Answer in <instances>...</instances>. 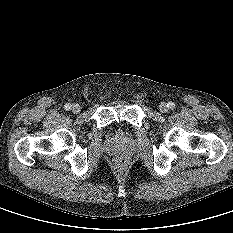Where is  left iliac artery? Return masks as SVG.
Here are the masks:
<instances>
[{
  "instance_id": "44dca946",
  "label": "left iliac artery",
  "mask_w": 233,
  "mask_h": 233,
  "mask_svg": "<svg viewBox=\"0 0 233 233\" xmlns=\"http://www.w3.org/2000/svg\"><path fill=\"white\" fill-rule=\"evenodd\" d=\"M167 107H168L169 109H174V108H175V104H174L173 102H169V103L167 104Z\"/></svg>"
}]
</instances>
